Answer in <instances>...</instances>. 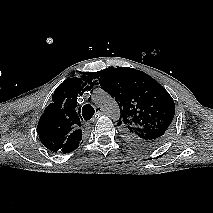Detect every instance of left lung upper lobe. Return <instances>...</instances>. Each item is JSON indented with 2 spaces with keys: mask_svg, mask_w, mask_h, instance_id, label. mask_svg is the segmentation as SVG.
I'll use <instances>...</instances> for the list:
<instances>
[{
  "mask_svg": "<svg viewBox=\"0 0 213 213\" xmlns=\"http://www.w3.org/2000/svg\"><path fill=\"white\" fill-rule=\"evenodd\" d=\"M100 86L114 96L121 111L118 126L133 146L151 149L171 134L175 104L170 94L148 74L113 66L97 73Z\"/></svg>",
  "mask_w": 213,
  "mask_h": 213,
  "instance_id": "5c2ea615",
  "label": "left lung upper lobe"
}]
</instances>
